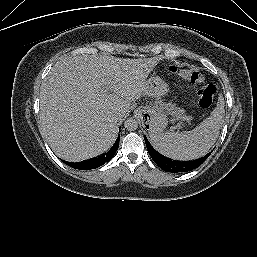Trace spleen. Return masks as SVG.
Instances as JSON below:
<instances>
[{"mask_svg": "<svg viewBox=\"0 0 257 257\" xmlns=\"http://www.w3.org/2000/svg\"><path fill=\"white\" fill-rule=\"evenodd\" d=\"M224 99L219 97L217 107L197 127L186 132L150 131L153 147L173 160L188 161L208 153L219 137L224 122Z\"/></svg>", "mask_w": 257, "mask_h": 257, "instance_id": "3e777b00", "label": "spleen"}]
</instances>
